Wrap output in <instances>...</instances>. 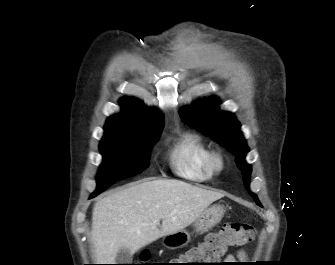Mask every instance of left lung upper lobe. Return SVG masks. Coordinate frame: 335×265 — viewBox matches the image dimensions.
Instances as JSON below:
<instances>
[{
    "label": "left lung upper lobe",
    "instance_id": "left-lung-upper-lobe-1",
    "mask_svg": "<svg viewBox=\"0 0 335 265\" xmlns=\"http://www.w3.org/2000/svg\"><path fill=\"white\" fill-rule=\"evenodd\" d=\"M217 98H209L196 105L187 107L180 112V117L186 124L211 136L236 156L235 162L242 172L245 188L249 190L251 166L245 162L249 152L242 133L240 123L229 112H221ZM255 202L261 206L257 196L249 192Z\"/></svg>",
    "mask_w": 335,
    "mask_h": 265
}]
</instances>
